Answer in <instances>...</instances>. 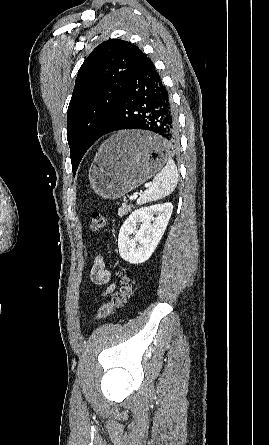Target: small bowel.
Instances as JSON below:
<instances>
[{
  "label": "small bowel",
  "instance_id": "obj_1",
  "mask_svg": "<svg viewBox=\"0 0 269 445\" xmlns=\"http://www.w3.org/2000/svg\"><path fill=\"white\" fill-rule=\"evenodd\" d=\"M111 276V271L106 267L104 258L101 255L96 256L90 270V279L96 285H107L102 293L103 296L115 289V283L110 282Z\"/></svg>",
  "mask_w": 269,
  "mask_h": 445
}]
</instances>
